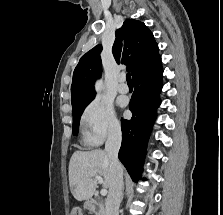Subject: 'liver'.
<instances>
[{
    "instance_id": "liver-1",
    "label": "liver",
    "mask_w": 223,
    "mask_h": 215,
    "mask_svg": "<svg viewBox=\"0 0 223 215\" xmlns=\"http://www.w3.org/2000/svg\"><path fill=\"white\" fill-rule=\"evenodd\" d=\"M110 159L107 151H74L69 161V185L75 199H91L97 187L93 175H103L104 187H110L112 181L109 169Z\"/></svg>"
}]
</instances>
